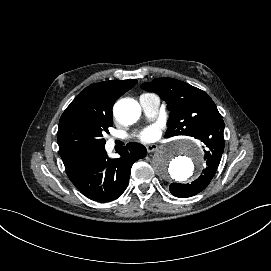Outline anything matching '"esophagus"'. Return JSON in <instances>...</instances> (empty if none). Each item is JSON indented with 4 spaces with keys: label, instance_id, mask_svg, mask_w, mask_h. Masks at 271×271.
Instances as JSON below:
<instances>
[{
    "label": "esophagus",
    "instance_id": "34e87169",
    "mask_svg": "<svg viewBox=\"0 0 271 271\" xmlns=\"http://www.w3.org/2000/svg\"><path fill=\"white\" fill-rule=\"evenodd\" d=\"M147 152L148 153H152L155 152L156 150H158V145L157 144H148L146 146Z\"/></svg>",
    "mask_w": 271,
    "mask_h": 271
}]
</instances>
